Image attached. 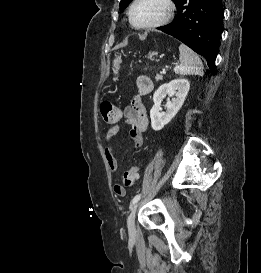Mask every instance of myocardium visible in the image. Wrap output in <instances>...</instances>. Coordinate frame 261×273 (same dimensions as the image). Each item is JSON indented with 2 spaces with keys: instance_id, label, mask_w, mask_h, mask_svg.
Masks as SVG:
<instances>
[{
  "instance_id": "obj_1",
  "label": "myocardium",
  "mask_w": 261,
  "mask_h": 273,
  "mask_svg": "<svg viewBox=\"0 0 261 273\" xmlns=\"http://www.w3.org/2000/svg\"><path fill=\"white\" fill-rule=\"evenodd\" d=\"M140 1L141 0H133L132 4L130 5L128 9V20H129L130 26L133 29H136V30L155 29L169 23L174 16L175 4L173 3V0H161V2L164 4V7H165V11L163 15L152 23L145 24V25H137L133 20V10Z\"/></svg>"
}]
</instances>
